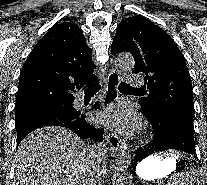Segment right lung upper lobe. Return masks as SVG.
I'll list each match as a JSON object with an SVG mask.
<instances>
[{
	"mask_svg": "<svg viewBox=\"0 0 207 185\" xmlns=\"http://www.w3.org/2000/svg\"><path fill=\"white\" fill-rule=\"evenodd\" d=\"M92 50L74 23L52 27L27 58L19 79L16 111L71 103L74 88L96 81Z\"/></svg>",
	"mask_w": 207,
	"mask_h": 185,
	"instance_id": "obj_1",
	"label": "right lung upper lobe"
}]
</instances>
